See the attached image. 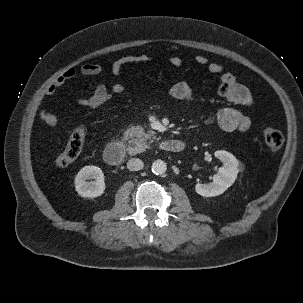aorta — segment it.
<instances>
[{
	"instance_id": "762f6f07",
	"label": "aorta",
	"mask_w": 303,
	"mask_h": 303,
	"mask_svg": "<svg viewBox=\"0 0 303 303\" xmlns=\"http://www.w3.org/2000/svg\"><path fill=\"white\" fill-rule=\"evenodd\" d=\"M152 172L155 174V175H163L166 170H167V165L164 161L162 160H155L153 163H152Z\"/></svg>"
}]
</instances>
